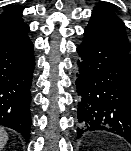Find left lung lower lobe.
<instances>
[{"instance_id": "0a47b994", "label": "left lung lower lobe", "mask_w": 131, "mask_h": 151, "mask_svg": "<svg viewBox=\"0 0 131 151\" xmlns=\"http://www.w3.org/2000/svg\"><path fill=\"white\" fill-rule=\"evenodd\" d=\"M77 53V137L106 131L131 143L130 52L84 34Z\"/></svg>"}]
</instances>
